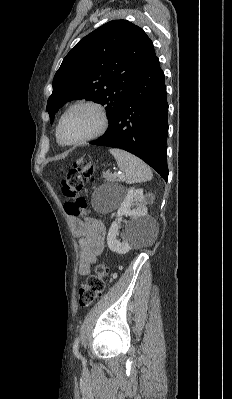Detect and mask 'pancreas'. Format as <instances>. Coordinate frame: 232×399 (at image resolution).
Wrapping results in <instances>:
<instances>
[{
    "mask_svg": "<svg viewBox=\"0 0 232 399\" xmlns=\"http://www.w3.org/2000/svg\"><path fill=\"white\" fill-rule=\"evenodd\" d=\"M103 178H105L107 182H114L115 180L113 174H110V172H106V174H103Z\"/></svg>",
    "mask_w": 232,
    "mask_h": 399,
    "instance_id": "1",
    "label": "pancreas"
}]
</instances>
